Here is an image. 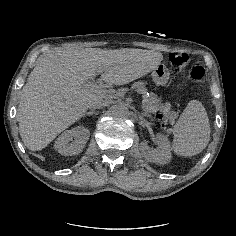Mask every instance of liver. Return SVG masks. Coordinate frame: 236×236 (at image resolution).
I'll return each mask as SVG.
<instances>
[{
    "mask_svg": "<svg viewBox=\"0 0 236 236\" xmlns=\"http://www.w3.org/2000/svg\"><path fill=\"white\" fill-rule=\"evenodd\" d=\"M149 50L138 48H76L39 57L21 91L18 106L20 136L31 151H40L107 96L84 88L88 78L102 73L104 82L128 84L149 72L141 66Z\"/></svg>",
    "mask_w": 236,
    "mask_h": 236,
    "instance_id": "obj_1",
    "label": "liver"
}]
</instances>
